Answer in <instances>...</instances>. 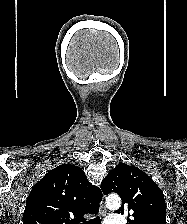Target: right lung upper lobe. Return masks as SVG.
<instances>
[{"mask_svg": "<svg viewBox=\"0 0 187 224\" xmlns=\"http://www.w3.org/2000/svg\"><path fill=\"white\" fill-rule=\"evenodd\" d=\"M101 199V190L88 181L80 167L62 164L32 188L23 224H81L84 214L98 212Z\"/></svg>", "mask_w": 187, "mask_h": 224, "instance_id": "cb5924a9", "label": "right lung upper lobe"}]
</instances>
